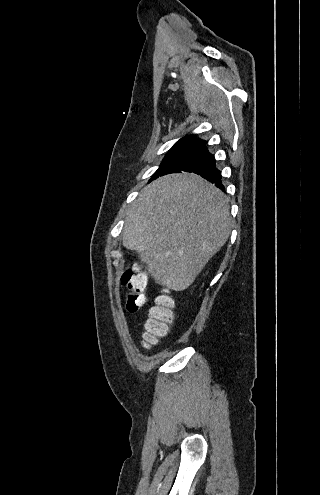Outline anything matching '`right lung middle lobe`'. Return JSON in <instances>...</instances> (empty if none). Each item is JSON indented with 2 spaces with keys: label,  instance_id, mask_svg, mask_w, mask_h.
Wrapping results in <instances>:
<instances>
[{
  "label": "right lung middle lobe",
  "instance_id": "1",
  "mask_svg": "<svg viewBox=\"0 0 320 495\" xmlns=\"http://www.w3.org/2000/svg\"><path fill=\"white\" fill-rule=\"evenodd\" d=\"M203 141L179 140L165 155L152 179L180 170L186 162L204 146Z\"/></svg>",
  "mask_w": 320,
  "mask_h": 495
}]
</instances>
